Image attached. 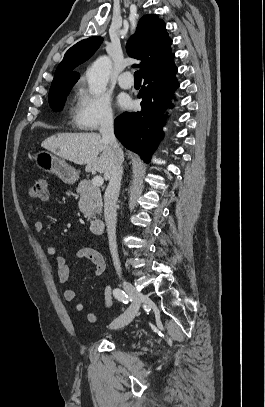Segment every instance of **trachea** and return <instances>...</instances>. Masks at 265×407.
I'll list each match as a JSON object with an SVG mask.
<instances>
[{"label":"trachea","mask_w":265,"mask_h":407,"mask_svg":"<svg viewBox=\"0 0 265 407\" xmlns=\"http://www.w3.org/2000/svg\"><path fill=\"white\" fill-rule=\"evenodd\" d=\"M134 79H135V81H141L142 80V72L141 71H136L134 73Z\"/></svg>","instance_id":"3493384b"}]
</instances>
